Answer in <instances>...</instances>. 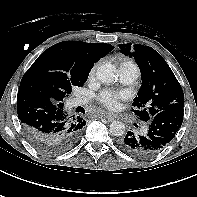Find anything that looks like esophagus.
I'll use <instances>...</instances> for the list:
<instances>
[{
    "label": "esophagus",
    "instance_id": "1",
    "mask_svg": "<svg viewBox=\"0 0 197 197\" xmlns=\"http://www.w3.org/2000/svg\"><path fill=\"white\" fill-rule=\"evenodd\" d=\"M100 117L106 119L108 122H112L116 119V117L110 113H102Z\"/></svg>",
    "mask_w": 197,
    "mask_h": 197
}]
</instances>
